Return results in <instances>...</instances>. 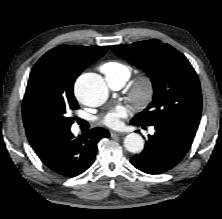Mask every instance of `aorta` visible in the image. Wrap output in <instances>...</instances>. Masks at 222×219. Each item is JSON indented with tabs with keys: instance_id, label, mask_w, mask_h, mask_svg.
Listing matches in <instances>:
<instances>
[{
	"instance_id": "762f6f07",
	"label": "aorta",
	"mask_w": 222,
	"mask_h": 219,
	"mask_svg": "<svg viewBox=\"0 0 222 219\" xmlns=\"http://www.w3.org/2000/svg\"><path fill=\"white\" fill-rule=\"evenodd\" d=\"M75 93L85 105L97 107L108 98V88L101 76L95 73L81 75L75 83ZM124 147L131 153H140L144 140L138 133H130L124 139Z\"/></svg>"
}]
</instances>
